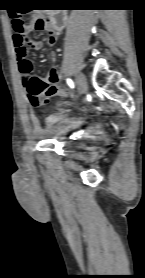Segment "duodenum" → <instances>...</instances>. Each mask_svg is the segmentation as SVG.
<instances>
[{
    "instance_id": "duodenum-1",
    "label": "duodenum",
    "mask_w": 145,
    "mask_h": 278,
    "mask_svg": "<svg viewBox=\"0 0 145 278\" xmlns=\"http://www.w3.org/2000/svg\"><path fill=\"white\" fill-rule=\"evenodd\" d=\"M67 21L68 17L66 12L56 11L48 17V27L56 32H59L66 27Z\"/></svg>"
}]
</instances>
